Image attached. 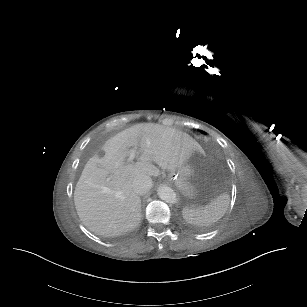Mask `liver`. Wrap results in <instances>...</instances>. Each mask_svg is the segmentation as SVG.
<instances>
[{
  "label": "liver",
  "mask_w": 307,
  "mask_h": 307,
  "mask_svg": "<svg viewBox=\"0 0 307 307\" xmlns=\"http://www.w3.org/2000/svg\"><path fill=\"white\" fill-rule=\"evenodd\" d=\"M139 145V160L125 164L129 148ZM198 147L186 132L157 123H138L110 138L103 157L93 156L84 166L74 191L77 214L90 231L115 236L138 226L141 199L132 182L139 175L159 176V169L175 171ZM102 187L109 190L103 192Z\"/></svg>",
  "instance_id": "liver-1"
}]
</instances>
